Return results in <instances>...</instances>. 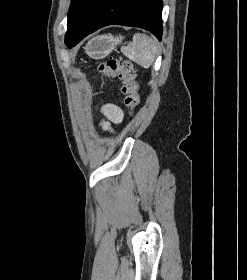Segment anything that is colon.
Returning <instances> with one entry per match:
<instances>
[{"mask_svg":"<svg viewBox=\"0 0 247 280\" xmlns=\"http://www.w3.org/2000/svg\"><path fill=\"white\" fill-rule=\"evenodd\" d=\"M99 72L106 77H117L123 82L125 105L132 114L140 103L139 84L132 63L110 58L99 66Z\"/></svg>","mask_w":247,"mask_h":280,"instance_id":"1","label":"colon"}]
</instances>
